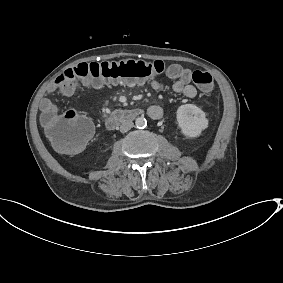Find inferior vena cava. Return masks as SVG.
<instances>
[{"label": "inferior vena cava", "mask_w": 283, "mask_h": 283, "mask_svg": "<svg viewBox=\"0 0 283 283\" xmlns=\"http://www.w3.org/2000/svg\"><path fill=\"white\" fill-rule=\"evenodd\" d=\"M134 126L132 121L126 120L120 125V132L125 133Z\"/></svg>", "instance_id": "inferior-vena-cava-1"}]
</instances>
